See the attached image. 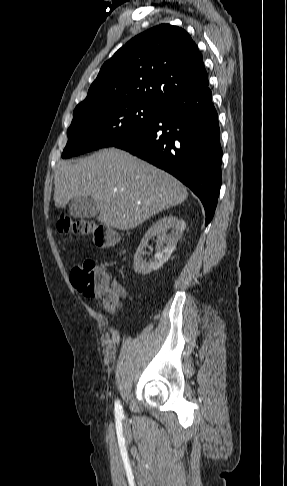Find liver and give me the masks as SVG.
Masks as SVG:
<instances>
[{"label": "liver", "mask_w": 287, "mask_h": 486, "mask_svg": "<svg viewBox=\"0 0 287 486\" xmlns=\"http://www.w3.org/2000/svg\"><path fill=\"white\" fill-rule=\"evenodd\" d=\"M90 196L98 205L97 220L129 230L188 196L170 174L129 154L109 148L77 160L60 161L54 173V202L63 208L75 197Z\"/></svg>", "instance_id": "1"}]
</instances>
